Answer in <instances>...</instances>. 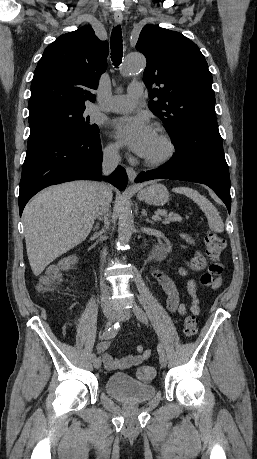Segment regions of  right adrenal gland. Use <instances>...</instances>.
Returning <instances> with one entry per match:
<instances>
[{
    "instance_id": "2a0ac1e0",
    "label": "right adrenal gland",
    "mask_w": 257,
    "mask_h": 459,
    "mask_svg": "<svg viewBox=\"0 0 257 459\" xmlns=\"http://www.w3.org/2000/svg\"><path fill=\"white\" fill-rule=\"evenodd\" d=\"M97 219H98V220H101V219L98 217V215H97ZM98 226H99V224L97 223V224L93 227V230H97V229H98Z\"/></svg>"
}]
</instances>
